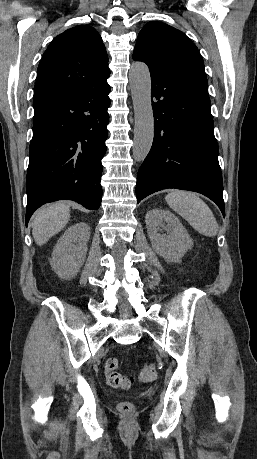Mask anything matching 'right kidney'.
I'll return each mask as SVG.
<instances>
[{"label": "right kidney", "mask_w": 257, "mask_h": 459, "mask_svg": "<svg viewBox=\"0 0 257 459\" xmlns=\"http://www.w3.org/2000/svg\"><path fill=\"white\" fill-rule=\"evenodd\" d=\"M90 238V228L85 222L70 226L54 247L50 265L61 278H73L82 267Z\"/></svg>", "instance_id": "right-kidney-1"}]
</instances>
